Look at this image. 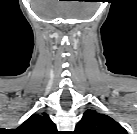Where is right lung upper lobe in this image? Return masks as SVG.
<instances>
[{"label":"right lung upper lobe","instance_id":"cb5924a9","mask_svg":"<svg viewBox=\"0 0 137 134\" xmlns=\"http://www.w3.org/2000/svg\"><path fill=\"white\" fill-rule=\"evenodd\" d=\"M16 131L20 134H57L56 125L46 113L33 114Z\"/></svg>","mask_w":137,"mask_h":134}]
</instances>
